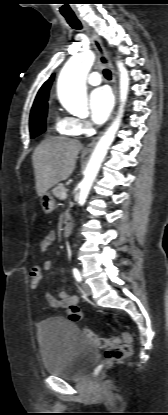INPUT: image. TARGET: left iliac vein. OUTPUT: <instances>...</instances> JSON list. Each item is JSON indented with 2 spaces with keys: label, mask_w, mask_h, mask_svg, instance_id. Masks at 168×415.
<instances>
[{
  "label": "left iliac vein",
  "mask_w": 168,
  "mask_h": 415,
  "mask_svg": "<svg viewBox=\"0 0 168 415\" xmlns=\"http://www.w3.org/2000/svg\"><path fill=\"white\" fill-rule=\"evenodd\" d=\"M82 288H83V292H84L86 295H91V294H92L91 288H90V286H89L88 284L83 283V284H82Z\"/></svg>",
  "instance_id": "4c4485c4"
}]
</instances>
